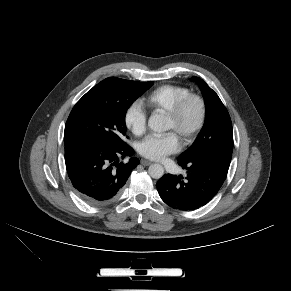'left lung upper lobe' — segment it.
<instances>
[{
  "instance_id": "left-lung-upper-lobe-1",
  "label": "left lung upper lobe",
  "mask_w": 291,
  "mask_h": 291,
  "mask_svg": "<svg viewBox=\"0 0 291 291\" xmlns=\"http://www.w3.org/2000/svg\"><path fill=\"white\" fill-rule=\"evenodd\" d=\"M192 79L202 91L206 118L194 143L178 157V161L209 157L231 161L233 130L228 111L215 91L202 79L198 77H192Z\"/></svg>"
}]
</instances>
